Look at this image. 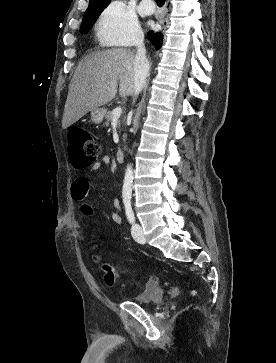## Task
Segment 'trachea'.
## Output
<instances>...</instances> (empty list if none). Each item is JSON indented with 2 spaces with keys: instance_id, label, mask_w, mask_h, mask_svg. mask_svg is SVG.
Returning <instances> with one entry per match:
<instances>
[{
  "instance_id": "trachea-1",
  "label": "trachea",
  "mask_w": 276,
  "mask_h": 363,
  "mask_svg": "<svg viewBox=\"0 0 276 363\" xmlns=\"http://www.w3.org/2000/svg\"><path fill=\"white\" fill-rule=\"evenodd\" d=\"M158 6H161L165 3V0H155Z\"/></svg>"
}]
</instances>
